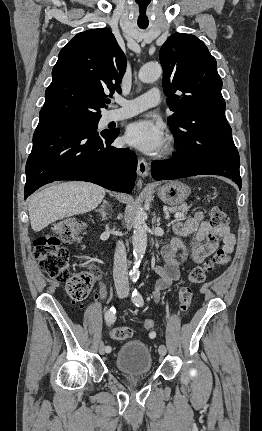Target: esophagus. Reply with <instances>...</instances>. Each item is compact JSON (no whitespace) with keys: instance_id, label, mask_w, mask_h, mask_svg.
I'll return each mask as SVG.
<instances>
[{"instance_id":"1","label":"esophagus","mask_w":262,"mask_h":431,"mask_svg":"<svg viewBox=\"0 0 262 431\" xmlns=\"http://www.w3.org/2000/svg\"><path fill=\"white\" fill-rule=\"evenodd\" d=\"M137 173L140 177L145 178L149 173V166L144 158L138 159Z\"/></svg>"}]
</instances>
